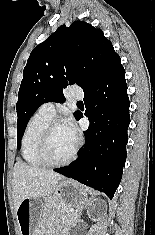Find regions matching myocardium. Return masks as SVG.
<instances>
[{
	"mask_svg": "<svg viewBox=\"0 0 155 235\" xmlns=\"http://www.w3.org/2000/svg\"><path fill=\"white\" fill-rule=\"evenodd\" d=\"M59 124H63L62 120L58 118H52L44 127L40 140L37 147V154L39 159L42 161L43 164L51 167H59L64 166L72 162L78 152L79 149V141L76 140L75 146L69 156L61 161H53L48 156V144L51 136V132L53 128Z\"/></svg>",
	"mask_w": 155,
	"mask_h": 235,
	"instance_id": "f54148a6",
	"label": "myocardium"
}]
</instances>
